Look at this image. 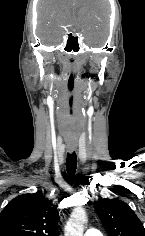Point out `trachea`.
<instances>
[{
    "instance_id": "trachea-1",
    "label": "trachea",
    "mask_w": 145,
    "mask_h": 236,
    "mask_svg": "<svg viewBox=\"0 0 145 236\" xmlns=\"http://www.w3.org/2000/svg\"><path fill=\"white\" fill-rule=\"evenodd\" d=\"M76 165H77V156L75 152H72L71 154H67L66 159V170L70 177H73L76 172Z\"/></svg>"
}]
</instances>
